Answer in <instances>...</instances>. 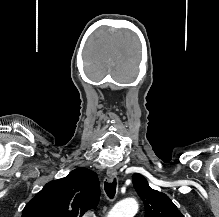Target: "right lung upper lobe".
<instances>
[{
	"instance_id": "obj_1",
	"label": "right lung upper lobe",
	"mask_w": 219,
	"mask_h": 217,
	"mask_svg": "<svg viewBox=\"0 0 219 217\" xmlns=\"http://www.w3.org/2000/svg\"><path fill=\"white\" fill-rule=\"evenodd\" d=\"M100 199L99 180L88 168L47 183L23 209L22 217H81Z\"/></svg>"
}]
</instances>
